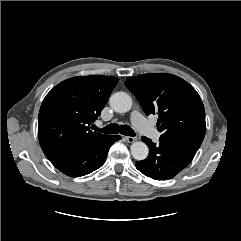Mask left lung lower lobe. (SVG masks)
<instances>
[{
	"mask_svg": "<svg viewBox=\"0 0 241 241\" xmlns=\"http://www.w3.org/2000/svg\"><path fill=\"white\" fill-rule=\"evenodd\" d=\"M149 147L145 160L137 161L136 168L155 180H168L183 170L194 158L202 141L160 137L159 144L142 137Z\"/></svg>",
	"mask_w": 241,
	"mask_h": 241,
	"instance_id": "1",
	"label": "left lung lower lobe"
}]
</instances>
